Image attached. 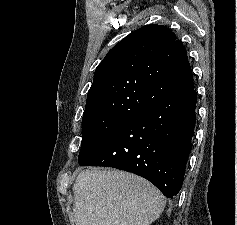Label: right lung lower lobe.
Returning a JSON list of instances; mask_svg holds the SVG:
<instances>
[{
    "label": "right lung lower lobe",
    "instance_id": "98d812e1",
    "mask_svg": "<svg viewBox=\"0 0 237 225\" xmlns=\"http://www.w3.org/2000/svg\"><path fill=\"white\" fill-rule=\"evenodd\" d=\"M194 86L148 106L81 159V166L132 172L153 183L167 198L183 184L194 134Z\"/></svg>",
    "mask_w": 237,
    "mask_h": 225
}]
</instances>
